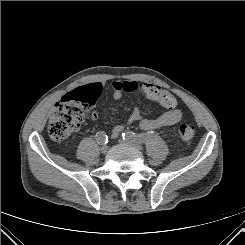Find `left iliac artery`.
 I'll list each match as a JSON object with an SVG mask.
<instances>
[{
  "instance_id": "left-iliac-artery-1",
  "label": "left iliac artery",
  "mask_w": 245,
  "mask_h": 245,
  "mask_svg": "<svg viewBox=\"0 0 245 245\" xmlns=\"http://www.w3.org/2000/svg\"><path fill=\"white\" fill-rule=\"evenodd\" d=\"M122 137L124 140H130V141L142 144L150 137V134H147V133L136 134L130 131L128 132L126 131L122 133Z\"/></svg>"
}]
</instances>
